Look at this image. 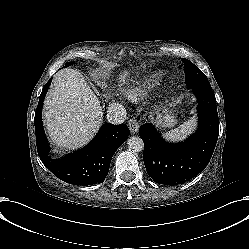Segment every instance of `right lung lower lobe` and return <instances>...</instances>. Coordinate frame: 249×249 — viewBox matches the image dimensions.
Here are the masks:
<instances>
[{"mask_svg": "<svg viewBox=\"0 0 249 249\" xmlns=\"http://www.w3.org/2000/svg\"><path fill=\"white\" fill-rule=\"evenodd\" d=\"M51 80L43 87L35 111L36 145L42 163L59 179L78 185L102 183L108 175L111 158L127 140L129 128L125 124H103L95 138L84 148L61 159L48 156L50 147L44 133L41 110Z\"/></svg>", "mask_w": 249, "mask_h": 249, "instance_id": "98d812e1", "label": "right lung lower lobe"}]
</instances>
